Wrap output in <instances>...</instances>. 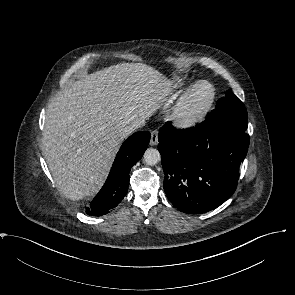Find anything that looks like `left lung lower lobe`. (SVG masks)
<instances>
[{"instance_id":"left-lung-lower-lobe-1","label":"left lung lower lobe","mask_w":295,"mask_h":295,"mask_svg":"<svg viewBox=\"0 0 295 295\" xmlns=\"http://www.w3.org/2000/svg\"><path fill=\"white\" fill-rule=\"evenodd\" d=\"M246 129L208 119L183 130L170 123L160 129L164 190L176 208L190 214L205 213L232 196L248 151Z\"/></svg>"}]
</instances>
